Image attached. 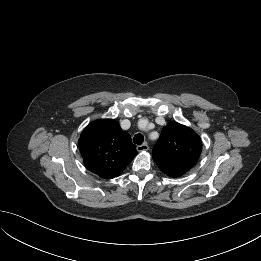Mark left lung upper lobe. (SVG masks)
I'll return each mask as SVG.
<instances>
[{"label":"left lung upper lobe","mask_w":261,"mask_h":261,"mask_svg":"<svg viewBox=\"0 0 261 261\" xmlns=\"http://www.w3.org/2000/svg\"><path fill=\"white\" fill-rule=\"evenodd\" d=\"M201 151L202 141L191 128L171 122L163 127L152 158L162 172L175 178L196 164Z\"/></svg>","instance_id":"1"}]
</instances>
